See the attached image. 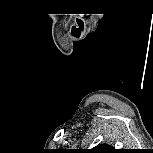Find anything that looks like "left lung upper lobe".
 <instances>
[{
    "mask_svg": "<svg viewBox=\"0 0 153 153\" xmlns=\"http://www.w3.org/2000/svg\"><path fill=\"white\" fill-rule=\"evenodd\" d=\"M92 150H112V148L108 145H98Z\"/></svg>",
    "mask_w": 153,
    "mask_h": 153,
    "instance_id": "obj_1",
    "label": "left lung upper lobe"
}]
</instances>
